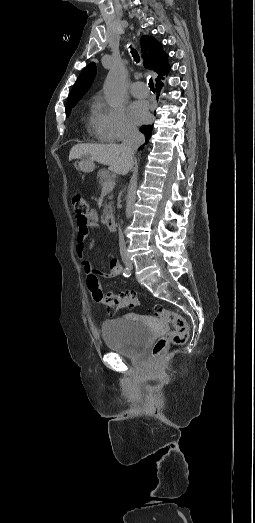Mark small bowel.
I'll return each instance as SVG.
<instances>
[{
    "instance_id": "obj_1",
    "label": "small bowel",
    "mask_w": 255,
    "mask_h": 523,
    "mask_svg": "<svg viewBox=\"0 0 255 523\" xmlns=\"http://www.w3.org/2000/svg\"><path fill=\"white\" fill-rule=\"evenodd\" d=\"M100 228L99 224V215L96 211L91 210L86 215V220L84 223H81L78 221V234H77V246H76V254L77 257L81 260L82 266L87 274L89 275H98L105 279H112L117 276H119L122 272V265L116 260L111 259L110 261V268L109 271H100V270H93L92 266L90 265L89 261L86 259V242L89 238V230L90 229H98ZM95 244L93 241H90L88 243V248L92 249L94 248Z\"/></svg>"
}]
</instances>
